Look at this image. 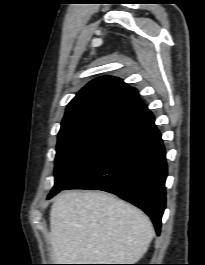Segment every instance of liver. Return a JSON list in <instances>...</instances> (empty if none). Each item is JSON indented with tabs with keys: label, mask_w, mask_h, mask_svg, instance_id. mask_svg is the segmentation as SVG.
Masks as SVG:
<instances>
[{
	"label": "liver",
	"mask_w": 205,
	"mask_h": 265,
	"mask_svg": "<svg viewBox=\"0 0 205 265\" xmlns=\"http://www.w3.org/2000/svg\"><path fill=\"white\" fill-rule=\"evenodd\" d=\"M154 237L148 216L97 191L60 194L50 211V242L57 264H135Z\"/></svg>",
	"instance_id": "liver-1"
}]
</instances>
